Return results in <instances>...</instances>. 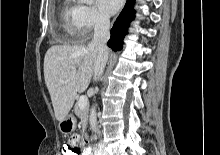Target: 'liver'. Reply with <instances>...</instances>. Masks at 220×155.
<instances>
[{"mask_svg":"<svg viewBox=\"0 0 220 155\" xmlns=\"http://www.w3.org/2000/svg\"><path fill=\"white\" fill-rule=\"evenodd\" d=\"M94 59L91 45H55L47 50L44 78L59 122L68 115L77 92H83L89 86Z\"/></svg>","mask_w":220,"mask_h":155,"instance_id":"liver-1","label":"liver"}]
</instances>
